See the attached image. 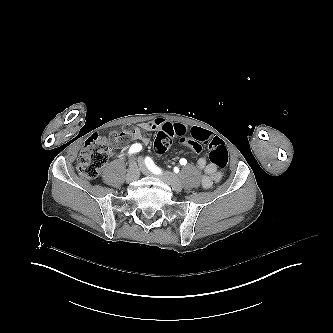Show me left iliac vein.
Returning a JSON list of instances; mask_svg holds the SVG:
<instances>
[{"label": "left iliac vein", "mask_w": 333, "mask_h": 333, "mask_svg": "<svg viewBox=\"0 0 333 333\" xmlns=\"http://www.w3.org/2000/svg\"><path fill=\"white\" fill-rule=\"evenodd\" d=\"M138 167H139V169L142 173H144L146 175H152L150 170L144 164L143 160H138ZM161 178L166 183H168L174 191H176V192L182 191V184H181L178 177L172 176L170 173L166 172V173L161 175Z\"/></svg>", "instance_id": "left-iliac-vein-1"}]
</instances>
